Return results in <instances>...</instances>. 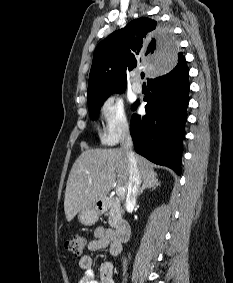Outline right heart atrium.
<instances>
[{
    "instance_id": "right-heart-atrium-1",
    "label": "right heart atrium",
    "mask_w": 233,
    "mask_h": 283,
    "mask_svg": "<svg viewBox=\"0 0 233 283\" xmlns=\"http://www.w3.org/2000/svg\"><path fill=\"white\" fill-rule=\"evenodd\" d=\"M102 130L100 137L105 145L113 146L122 140L130 130L124 104L111 96L100 107Z\"/></svg>"
}]
</instances>
